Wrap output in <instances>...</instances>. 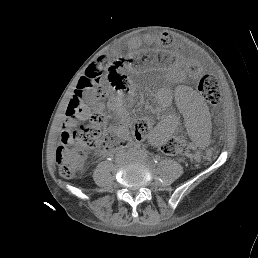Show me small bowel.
Returning a JSON list of instances; mask_svg holds the SVG:
<instances>
[{
  "instance_id": "1",
  "label": "small bowel",
  "mask_w": 258,
  "mask_h": 258,
  "mask_svg": "<svg viewBox=\"0 0 258 258\" xmlns=\"http://www.w3.org/2000/svg\"><path fill=\"white\" fill-rule=\"evenodd\" d=\"M140 44H141V40L136 38V39H133L132 41H130V43L128 45V48L135 49ZM87 113H88L87 110H82V112H81L82 117L85 118L87 116ZM159 138H160V136H157V135L153 136V140H158ZM96 154L97 155H102L103 152L102 151H98V152H96Z\"/></svg>"
}]
</instances>
